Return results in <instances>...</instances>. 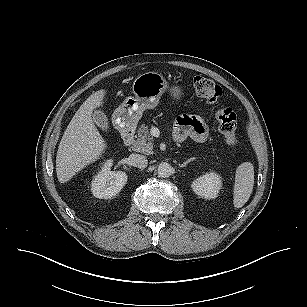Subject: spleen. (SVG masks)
<instances>
[{"mask_svg": "<svg viewBox=\"0 0 307 307\" xmlns=\"http://www.w3.org/2000/svg\"><path fill=\"white\" fill-rule=\"evenodd\" d=\"M254 186V167L251 162H244L236 169L233 189V204L241 208L249 200Z\"/></svg>", "mask_w": 307, "mask_h": 307, "instance_id": "obj_1", "label": "spleen"}]
</instances>
